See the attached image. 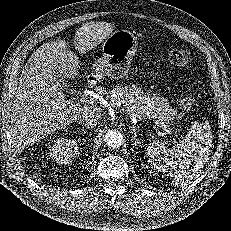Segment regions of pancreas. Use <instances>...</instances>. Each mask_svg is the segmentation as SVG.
Returning a JSON list of instances; mask_svg holds the SVG:
<instances>
[{
    "label": "pancreas",
    "instance_id": "cf45deb5",
    "mask_svg": "<svg viewBox=\"0 0 231 231\" xmlns=\"http://www.w3.org/2000/svg\"><path fill=\"white\" fill-rule=\"evenodd\" d=\"M111 103H122L130 117L158 118L169 123L176 117V111L170 106L167 99L145 93L141 88H131L117 84L107 95Z\"/></svg>",
    "mask_w": 231,
    "mask_h": 231
}]
</instances>
